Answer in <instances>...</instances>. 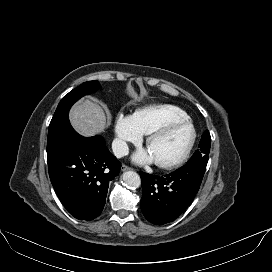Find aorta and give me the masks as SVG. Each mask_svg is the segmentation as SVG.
<instances>
[{
    "mask_svg": "<svg viewBox=\"0 0 272 272\" xmlns=\"http://www.w3.org/2000/svg\"><path fill=\"white\" fill-rule=\"evenodd\" d=\"M122 183L129 189H136L140 186V176L134 171H127L122 175Z\"/></svg>",
    "mask_w": 272,
    "mask_h": 272,
    "instance_id": "762f6f07",
    "label": "aorta"
}]
</instances>
